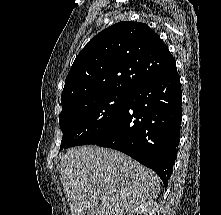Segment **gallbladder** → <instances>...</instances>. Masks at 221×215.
<instances>
[{"mask_svg": "<svg viewBox=\"0 0 221 215\" xmlns=\"http://www.w3.org/2000/svg\"><path fill=\"white\" fill-rule=\"evenodd\" d=\"M83 215H98V208H93L86 211Z\"/></svg>", "mask_w": 221, "mask_h": 215, "instance_id": "gallbladder-1", "label": "gallbladder"}]
</instances>
